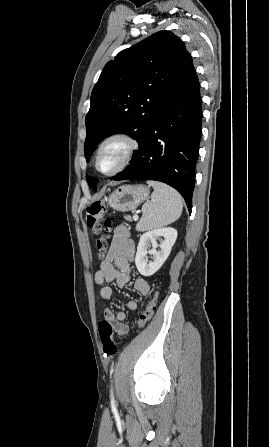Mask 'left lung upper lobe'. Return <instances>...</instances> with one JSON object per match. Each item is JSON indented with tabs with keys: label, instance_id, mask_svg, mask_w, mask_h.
<instances>
[{
	"label": "left lung upper lobe",
	"instance_id": "obj_1",
	"mask_svg": "<svg viewBox=\"0 0 269 447\" xmlns=\"http://www.w3.org/2000/svg\"><path fill=\"white\" fill-rule=\"evenodd\" d=\"M186 54L179 37L160 31L121 51L105 65L93 88L85 119L87 162L99 142L117 133L137 140L139 150L132 156L136 157ZM86 179L96 191L98 180Z\"/></svg>",
	"mask_w": 269,
	"mask_h": 447
}]
</instances>
